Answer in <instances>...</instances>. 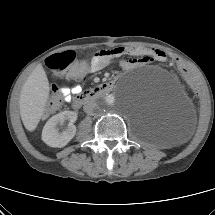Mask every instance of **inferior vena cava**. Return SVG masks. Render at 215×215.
I'll list each match as a JSON object with an SVG mask.
<instances>
[{
  "label": "inferior vena cava",
  "instance_id": "1",
  "mask_svg": "<svg viewBox=\"0 0 215 215\" xmlns=\"http://www.w3.org/2000/svg\"><path fill=\"white\" fill-rule=\"evenodd\" d=\"M96 106H97L96 102H89L84 105V111L87 113H91Z\"/></svg>",
  "mask_w": 215,
  "mask_h": 215
}]
</instances>
